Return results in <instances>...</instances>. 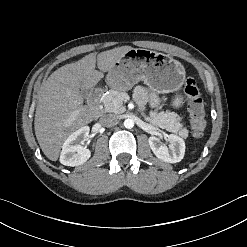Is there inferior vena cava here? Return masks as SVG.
<instances>
[{"label":"inferior vena cava","mask_w":247,"mask_h":247,"mask_svg":"<svg viewBox=\"0 0 247 247\" xmlns=\"http://www.w3.org/2000/svg\"><path fill=\"white\" fill-rule=\"evenodd\" d=\"M100 122L103 126H114L119 122V117L114 114H106L100 118Z\"/></svg>","instance_id":"inferior-vena-cava-1"}]
</instances>
